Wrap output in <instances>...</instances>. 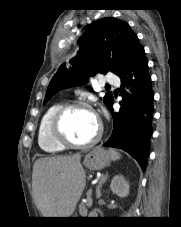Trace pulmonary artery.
<instances>
[{
	"label": "pulmonary artery",
	"mask_w": 181,
	"mask_h": 227,
	"mask_svg": "<svg viewBox=\"0 0 181 227\" xmlns=\"http://www.w3.org/2000/svg\"><path fill=\"white\" fill-rule=\"evenodd\" d=\"M104 82L107 84H117L119 83V78L113 74H107L104 79Z\"/></svg>",
	"instance_id": "e3ab8cb5"
}]
</instances>
